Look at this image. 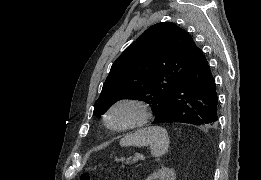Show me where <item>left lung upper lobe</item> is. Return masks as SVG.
<instances>
[{"instance_id": "left-lung-upper-lobe-1", "label": "left lung upper lobe", "mask_w": 261, "mask_h": 180, "mask_svg": "<svg viewBox=\"0 0 261 180\" xmlns=\"http://www.w3.org/2000/svg\"><path fill=\"white\" fill-rule=\"evenodd\" d=\"M198 51L192 37L176 24L152 25L113 63L93 113L102 115L116 101L134 99L150 104L159 117Z\"/></svg>"}]
</instances>
